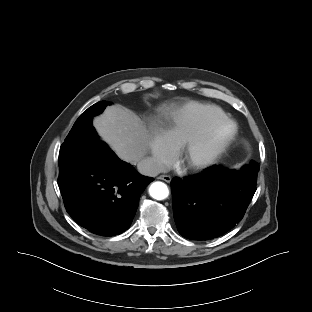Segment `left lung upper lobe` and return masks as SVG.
I'll return each mask as SVG.
<instances>
[{
	"label": "left lung upper lobe",
	"instance_id": "5c2ea615",
	"mask_svg": "<svg viewBox=\"0 0 312 312\" xmlns=\"http://www.w3.org/2000/svg\"><path fill=\"white\" fill-rule=\"evenodd\" d=\"M258 171H259L258 163H256L255 161H250L249 164L244 165L243 168L238 172L241 173L242 175L251 178L252 176L257 175Z\"/></svg>",
	"mask_w": 312,
	"mask_h": 312
}]
</instances>
